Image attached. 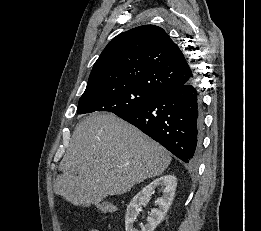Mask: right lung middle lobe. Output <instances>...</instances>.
<instances>
[{
  "instance_id": "obj_1",
  "label": "right lung middle lobe",
  "mask_w": 261,
  "mask_h": 231,
  "mask_svg": "<svg viewBox=\"0 0 261 231\" xmlns=\"http://www.w3.org/2000/svg\"><path fill=\"white\" fill-rule=\"evenodd\" d=\"M155 97L150 91L134 86L90 92L81 96L77 113L109 111L120 116L139 109Z\"/></svg>"
}]
</instances>
